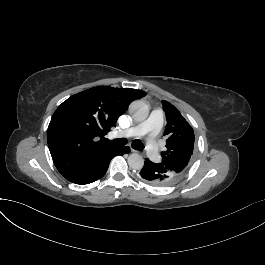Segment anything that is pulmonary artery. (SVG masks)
I'll return each mask as SVG.
<instances>
[{"label":"pulmonary artery","mask_w":265,"mask_h":265,"mask_svg":"<svg viewBox=\"0 0 265 265\" xmlns=\"http://www.w3.org/2000/svg\"><path fill=\"white\" fill-rule=\"evenodd\" d=\"M163 113L159 109H154L150 113V118L146 122H144L140 127L139 126H131L130 128H125L124 130H116L115 138L116 139H124L125 141H130L134 136H142L147 135L142 144V150L144 152H149V158L154 160L155 163L163 162L162 152L158 149L157 146H152L153 139L156 138L157 135L161 134L160 124L162 123Z\"/></svg>","instance_id":"pulmonary-artery-1"}]
</instances>
